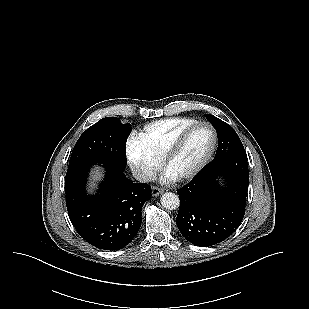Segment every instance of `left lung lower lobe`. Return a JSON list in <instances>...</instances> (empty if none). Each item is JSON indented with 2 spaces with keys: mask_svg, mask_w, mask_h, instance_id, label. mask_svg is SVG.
<instances>
[{
  "mask_svg": "<svg viewBox=\"0 0 309 309\" xmlns=\"http://www.w3.org/2000/svg\"><path fill=\"white\" fill-rule=\"evenodd\" d=\"M223 176L226 187L219 186ZM249 171L244 149L214 158L187 185L177 190L180 198L176 224L181 234L200 247L227 239L245 214Z\"/></svg>",
  "mask_w": 309,
  "mask_h": 309,
  "instance_id": "obj_1",
  "label": "left lung lower lobe"
}]
</instances>
